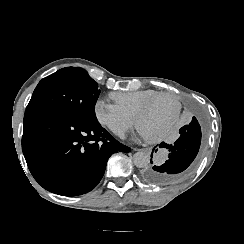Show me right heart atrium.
<instances>
[{
  "label": "right heart atrium",
  "instance_id": "right-heart-atrium-1",
  "mask_svg": "<svg viewBox=\"0 0 244 244\" xmlns=\"http://www.w3.org/2000/svg\"><path fill=\"white\" fill-rule=\"evenodd\" d=\"M94 111L97 120L118 137H124L129 130L138 126V117L135 114L109 99L97 100Z\"/></svg>",
  "mask_w": 244,
  "mask_h": 244
}]
</instances>
